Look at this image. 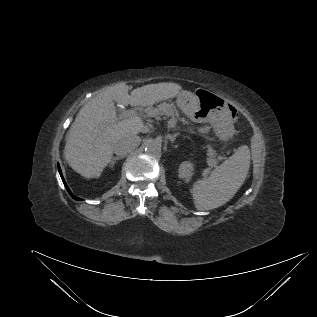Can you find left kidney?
Returning a JSON list of instances; mask_svg holds the SVG:
<instances>
[{"mask_svg":"<svg viewBox=\"0 0 317 317\" xmlns=\"http://www.w3.org/2000/svg\"><path fill=\"white\" fill-rule=\"evenodd\" d=\"M179 177L184 179L186 182H189L194 171V166L189 161H184L179 166Z\"/></svg>","mask_w":317,"mask_h":317,"instance_id":"5707ae66","label":"left kidney"}]
</instances>
